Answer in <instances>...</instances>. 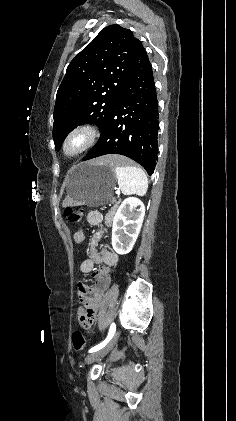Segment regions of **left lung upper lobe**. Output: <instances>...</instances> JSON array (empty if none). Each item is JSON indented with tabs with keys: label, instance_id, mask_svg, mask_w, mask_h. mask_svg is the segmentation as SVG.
<instances>
[{
	"label": "left lung upper lobe",
	"instance_id": "obj_1",
	"mask_svg": "<svg viewBox=\"0 0 236 421\" xmlns=\"http://www.w3.org/2000/svg\"><path fill=\"white\" fill-rule=\"evenodd\" d=\"M141 46L131 30L110 25L71 61L56 95V150L78 125L95 123L103 127Z\"/></svg>",
	"mask_w": 236,
	"mask_h": 421
}]
</instances>
